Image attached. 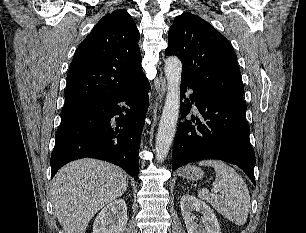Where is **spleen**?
I'll return each mask as SVG.
<instances>
[{
  "label": "spleen",
  "mask_w": 306,
  "mask_h": 233,
  "mask_svg": "<svg viewBox=\"0 0 306 233\" xmlns=\"http://www.w3.org/2000/svg\"><path fill=\"white\" fill-rule=\"evenodd\" d=\"M198 164L215 169L213 186L220 193L213 194L204 188L198 191L199 198L209 202L235 225H244L251 204L249 190L242 177L232 167L218 160H202Z\"/></svg>",
  "instance_id": "obj_1"
}]
</instances>
